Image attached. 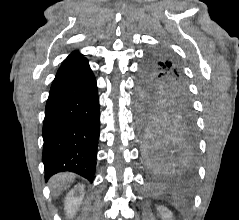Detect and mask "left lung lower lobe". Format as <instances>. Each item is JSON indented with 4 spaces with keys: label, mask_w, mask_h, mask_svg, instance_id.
I'll return each instance as SVG.
<instances>
[{
    "label": "left lung lower lobe",
    "mask_w": 239,
    "mask_h": 220,
    "mask_svg": "<svg viewBox=\"0 0 239 220\" xmlns=\"http://www.w3.org/2000/svg\"><path fill=\"white\" fill-rule=\"evenodd\" d=\"M194 149L191 112H166L153 125L144 126V156L152 167L188 164Z\"/></svg>",
    "instance_id": "1"
}]
</instances>
